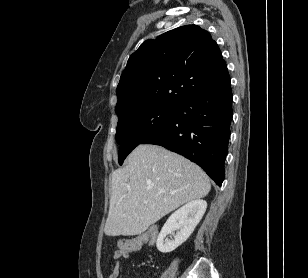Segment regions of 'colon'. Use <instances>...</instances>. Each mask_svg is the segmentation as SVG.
Segmentation results:
<instances>
[{"label": "colon", "instance_id": "1", "mask_svg": "<svg viewBox=\"0 0 308 278\" xmlns=\"http://www.w3.org/2000/svg\"><path fill=\"white\" fill-rule=\"evenodd\" d=\"M148 231L143 235H134V240L123 239L119 243V250H128V253H140V247L146 241H149L151 247H156L158 245L157 240L160 236V231L154 226H150Z\"/></svg>", "mask_w": 308, "mask_h": 278}]
</instances>
